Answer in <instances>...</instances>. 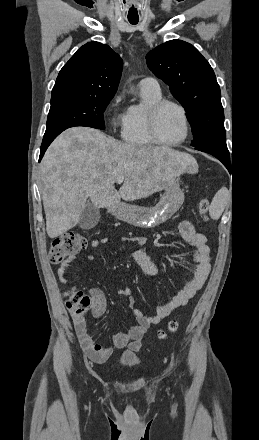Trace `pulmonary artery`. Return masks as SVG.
I'll return each instance as SVG.
<instances>
[{"label":"pulmonary artery","instance_id":"obj_1","mask_svg":"<svg viewBox=\"0 0 259 440\" xmlns=\"http://www.w3.org/2000/svg\"><path fill=\"white\" fill-rule=\"evenodd\" d=\"M141 92L159 95L161 94V89L158 81L152 77L143 78L138 84Z\"/></svg>","mask_w":259,"mask_h":440}]
</instances>
